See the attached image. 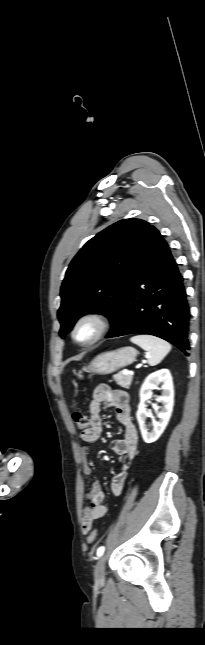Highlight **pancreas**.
<instances>
[{
	"mask_svg": "<svg viewBox=\"0 0 205 645\" xmlns=\"http://www.w3.org/2000/svg\"><path fill=\"white\" fill-rule=\"evenodd\" d=\"M113 379L115 382L120 385L123 388L129 389L133 376L132 375H124L123 373H118L113 376Z\"/></svg>",
	"mask_w": 205,
	"mask_h": 645,
	"instance_id": "1",
	"label": "pancreas"
}]
</instances>
